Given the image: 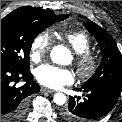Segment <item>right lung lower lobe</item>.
Masks as SVG:
<instances>
[{
	"mask_svg": "<svg viewBox=\"0 0 122 122\" xmlns=\"http://www.w3.org/2000/svg\"><path fill=\"white\" fill-rule=\"evenodd\" d=\"M26 80V84L15 87L13 82ZM29 70H18L1 63V122H21L27 111L30 95L39 92V85L32 81Z\"/></svg>",
	"mask_w": 122,
	"mask_h": 122,
	"instance_id": "1",
	"label": "right lung lower lobe"
}]
</instances>
